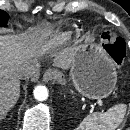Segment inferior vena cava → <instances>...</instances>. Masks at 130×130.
<instances>
[{
    "label": "inferior vena cava",
    "mask_w": 130,
    "mask_h": 130,
    "mask_svg": "<svg viewBox=\"0 0 130 130\" xmlns=\"http://www.w3.org/2000/svg\"><path fill=\"white\" fill-rule=\"evenodd\" d=\"M22 75L26 78H29L30 81L35 82L39 79L40 76V67L36 62H26L22 66Z\"/></svg>",
    "instance_id": "obj_1"
}]
</instances>
